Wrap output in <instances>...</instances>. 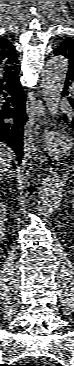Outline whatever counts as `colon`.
I'll list each match as a JSON object with an SVG mask.
<instances>
[{
	"label": "colon",
	"instance_id": "1",
	"mask_svg": "<svg viewBox=\"0 0 74 366\" xmlns=\"http://www.w3.org/2000/svg\"><path fill=\"white\" fill-rule=\"evenodd\" d=\"M27 366H45V365L29 364Z\"/></svg>",
	"mask_w": 74,
	"mask_h": 366
}]
</instances>
